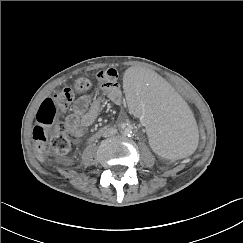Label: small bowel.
<instances>
[{"mask_svg": "<svg viewBox=\"0 0 243 243\" xmlns=\"http://www.w3.org/2000/svg\"><path fill=\"white\" fill-rule=\"evenodd\" d=\"M103 73L105 76H103ZM119 73L114 68H108L97 74L102 94L112 103L119 105L123 100V94L118 83ZM102 97L91 100L87 96L78 98L73 112L66 117L68 133L74 138H81L86 129L91 126L101 111Z\"/></svg>", "mask_w": 243, "mask_h": 243, "instance_id": "obj_1", "label": "small bowel"}]
</instances>
